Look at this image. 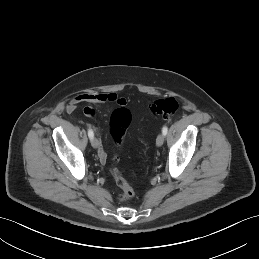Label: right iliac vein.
Masks as SVG:
<instances>
[{"instance_id": "right-iliac-vein-1", "label": "right iliac vein", "mask_w": 259, "mask_h": 259, "mask_svg": "<svg viewBox=\"0 0 259 259\" xmlns=\"http://www.w3.org/2000/svg\"><path fill=\"white\" fill-rule=\"evenodd\" d=\"M91 145H92V147L93 148H98V146H99V142H98V140L96 139V138H92L91 139Z\"/></svg>"}]
</instances>
